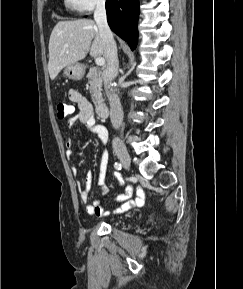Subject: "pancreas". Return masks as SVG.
I'll return each instance as SVG.
<instances>
[{"mask_svg": "<svg viewBox=\"0 0 243 289\" xmlns=\"http://www.w3.org/2000/svg\"><path fill=\"white\" fill-rule=\"evenodd\" d=\"M88 79L90 84V95L92 101L96 104L102 98V77L101 72L96 68L92 67L88 73Z\"/></svg>", "mask_w": 243, "mask_h": 289, "instance_id": "pancreas-1", "label": "pancreas"}]
</instances>
